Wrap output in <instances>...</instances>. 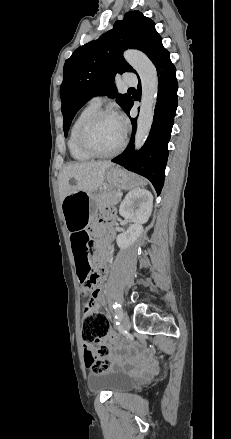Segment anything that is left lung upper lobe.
<instances>
[{"label":"left lung upper lobe","instance_id":"obj_1","mask_svg":"<svg viewBox=\"0 0 231 439\" xmlns=\"http://www.w3.org/2000/svg\"><path fill=\"white\" fill-rule=\"evenodd\" d=\"M128 48L143 51L152 62L165 49L155 23L140 11L126 13L112 30L80 46L66 60L60 88L65 136L77 111L93 96L117 97V103L126 109L131 96L118 95L114 78L116 73L135 72L122 56Z\"/></svg>","mask_w":231,"mask_h":439}]
</instances>
